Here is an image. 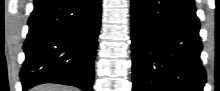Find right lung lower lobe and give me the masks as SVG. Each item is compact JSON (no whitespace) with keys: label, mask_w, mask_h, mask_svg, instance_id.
<instances>
[{"label":"right lung lower lobe","mask_w":220,"mask_h":91,"mask_svg":"<svg viewBox=\"0 0 220 91\" xmlns=\"http://www.w3.org/2000/svg\"><path fill=\"white\" fill-rule=\"evenodd\" d=\"M101 0H34L20 71L23 91L43 83L93 91Z\"/></svg>","instance_id":"obj_1"}]
</instances>
